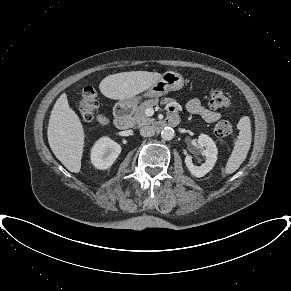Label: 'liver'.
I'll return each instance as SVG.
<instances>
[{"instance_id": "liver-1", "label": "liver", "mask_w": 291, "mask_h": 291, "mask_svg": "<svg viewBox=\"0 0 291 291\" xmlns=\"http://www.w3.org/2000/svg\"><path fill=\"white\" fill-rule=\"evenodd\" d=\"M161 76L157 72H121L105 77L99 89L110 99L122 100L148 90ZM47 137L56 158L70 172H80L85 134L78 115L69 107L65 93L57 99L52 109Z\"/></svg>"}]
</instances>
